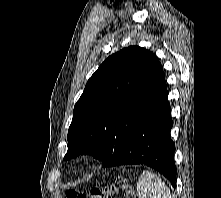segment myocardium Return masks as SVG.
I'll return each instance as SVG.
<instances>
[{"instance_id": "myocardium-1", "label": "myocardium", "mask_w": 221, "mask_h": 198, "mask_svg": "<svg viewBox=\"0 0 221 198\" xmlns=\"http://www.w3.org/2000/svg\"><path fill=\"white\" fill-rule=\"evenodd\" d=\"M86 158L87 159H91L92 158V154L91 153L86 154Z\"/></svg>"}]
</instances>
